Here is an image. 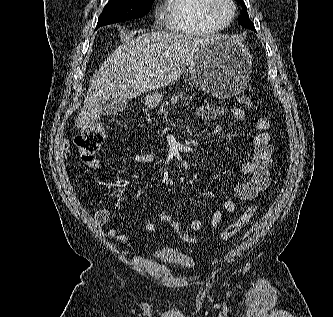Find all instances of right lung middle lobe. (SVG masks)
<instances>
[{
    "label": "right lung middle lobe",
    "mask_w": 333,
    "mask_h": 317,
    "mask_svg": "<svg viewBox=\"0 0 333 317\" xmlns=\"http://www.w3.org/2000/svg\"><path fill=\"white\" fill-rule=\"evenodd\" d=\"M154 0H109L101 13L97 27L146 15Z\"/></svg>",
    "instance_id": "obj_1"
}]
</instances>
